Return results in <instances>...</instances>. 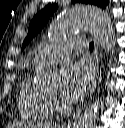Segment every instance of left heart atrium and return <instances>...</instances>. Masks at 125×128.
Segmentation results:
<instances>
[{
  "label": "left heart atrium",
  "mask_w": 125,
  "mask_h": 128,
  "mask_svg": "<svg viewBox=\"0 0 125 128\" xmlns=\"http://www.w3.org/2000/svg\"><path fill=\"white\" fill-rule=\"evenodd\" d=\"M93 70L85 62H76L66 65L61 71L60 96L69 103L82 99L93 84Z\"/></svg>",
  "instance_id": "1"
}]
</instances>
